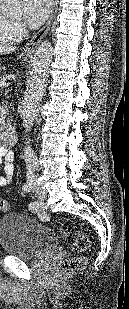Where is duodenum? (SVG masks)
I'll list each match as a JSON object with an SVG mask.
<instances>
[{
  "label": "duodenum",
  "mask_w": 129,
  "mask_h": 309,
  "mask_svg": "<svg viewBox=\"0 0 129 309\" xmlns=\"http://www.w3.org/2000/svg\"><path fill=\"white\" fill-rule=\"evenodd\" d=\"M17 139V131L13 126H8L2 135V140L6 147H12Z\"/></svg>",
  "instance_id": "410a0bca"
}]
</instances>
